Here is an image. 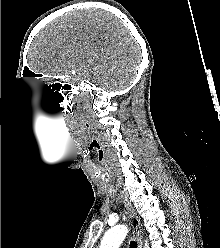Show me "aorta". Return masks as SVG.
I'll use <instances>...</instances> for the list:
<instances>
[{"instance_id":"obj_1","label":"aorta","mask_w":220,"mask_h":248,"mask_svg":"<svg viewBox=\"0 0 220 248\" xmlns=\"http://www.w3.org/2000/svg\"><path fill=\"white\" fill-rule=\"evenodd\" d=\"M127 233L128 229L125 225H116L105 233L100 248H119ZM145 247L149 248L147 243Z\"/></svg>"}]
</instances>
